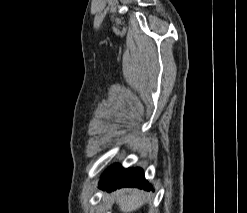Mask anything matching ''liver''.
<instances>
[{"label": "liver", "mask_w": 247, "mask_h": 213, "mask_svg": "<svg viewBox=\"0 0 247 213\" xmlns=\"http://www.w3.org/2000/svg\"><path fill=\"white\" fill-rule=\"evenodd\" d=\"M120 211L123 213H132L138 210L145 203L144 194L139 190L128 191L121 189L113 194Z\"/></svg>", "instance_id": "1"}]
</instances>
